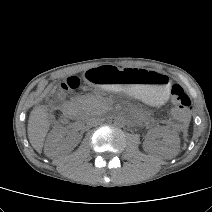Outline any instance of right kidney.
<instances>
[{
  "label": "right kidney",
  "instance_id": "ca27d5eb",
  "mask_svg": "<svg viewBox=\"0 0 212 212\" xmlns=\"http://www.w3.org/2000/svg\"><path fill=\"white\" fill-rule=\"evenodd\" d=\"M65 128L57 124L51 131L45 144L44 152L50 158H56L60 155L71 152L81 141L82 135L72 132L69 137H65Z\"/></svg>",
  "mask_w": 212,
  "mask_h": 212
}]
</instances>
